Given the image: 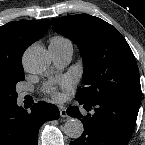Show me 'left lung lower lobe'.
Instances as JSON below:
<instances>
[{
  "label": "left lung lower lobe",
  "mask_w": 145,
  "mask_h": 145,
  "mask_svg": "<svg viewBox=\"0 0 145 145\" xmlns=\"http://www.w3.org/2000/svg\"><path fill=\"white\" fill-rule=\"evenodd\" d=\"M88 111L95 113L83 116L77 106L67 109L70 116L81 119L84 132L70 145H127L133 134L141 102V96H119L95 103L76 98Z\"/></svg>",
  "instance_id": "0a47b994"
}]
</instances>
